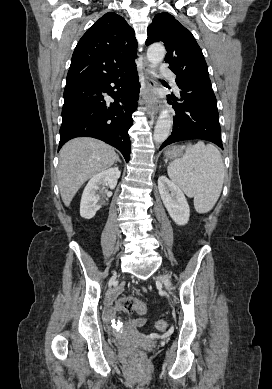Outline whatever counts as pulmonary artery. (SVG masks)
Wrapping results in <instances>:
<instances>
[{"label": "pulmonary artery", "instance_id": "pulmonary-artery-1", "mask_svg": "<svg viewBox=\"0 0 272 389\" xmlns=\"http://www.w3.org/2000/svg\"><path fill=\"white\" fill-rule=\"evenodd\" d=\"M159 71L162 75L166 76L171 81L175 90L178 91V87L175 82L176 79L175 74L166 65L163 64L160 66Z\"/></svg>", "mask_w": 272, "mask_h": 389}]
</instances>
